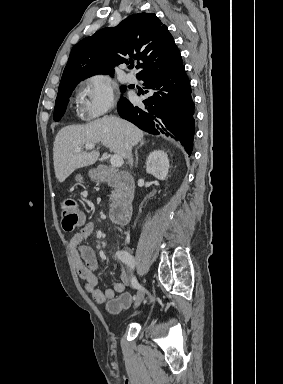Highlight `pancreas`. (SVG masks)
<instances>
[{
	"mask_svg": "<svg viewBox=\"0 0 283 384\" xmlns=\"http://www.w3.org/2000/svg\"><path fill=\"white\" fill-rule=\"evenodd\" d=\"M116 174V170H107V174L105 176V178H113V176H115ZM100 182H106V180H100ZM112 188H114L111 196H110V200L111 202H113V204H110V208H113L115 202H117L119 196H120V188H118V186H112Z\"/></svg>",
	"mask_w": 283,
	"mask_h": 384,
	"instance_id": "cf45deb5",
	"label": "pancreas"
}]
</instances>
